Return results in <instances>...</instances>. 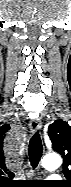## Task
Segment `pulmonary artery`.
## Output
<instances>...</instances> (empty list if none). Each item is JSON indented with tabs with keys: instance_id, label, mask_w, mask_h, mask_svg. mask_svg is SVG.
<instances>
[{
	"instance_id": "1",
	"label": "pulmonary artery",
	"mask_w": 71,
	"mask_h": 187,
	"mask_svg": "<svg viewBox=\"0 0 71 187\" xmlns=\"http://www.w3.org/2000/svg\"><path fill=\"white\" fill-rule=\"evenodd\" d=\"M57 178H58V176L55 175V174H53V175H51V176L49 177V179H57Z\"/></svg>"
}]
</instances>
